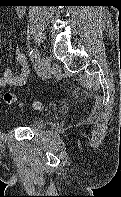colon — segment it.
<instances>
[{"instance_id": "5ec220e1", "label": "colon", "mask_w": 121, "mask_h": 197, "mask_svg": "<svg viewBox=\"0 0 121 197\" xmlns=\"http://www.w3.org/2000/svg\"><path fill=\"white\" fill-rule=\"evenodd\" d=\"M4 101L6 104L8 105H14L17 103V97L12 94V93H6L4 95ZM22 105V104H20ZM31 108H33L34 110H39L41 108V104L38 101L33 102L31 105H29Z\"/></svg>"}]
</instances>
